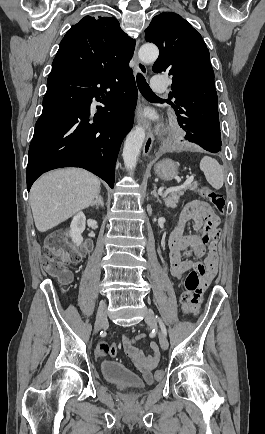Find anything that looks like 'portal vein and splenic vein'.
<instances>
[{"instance_id":"18ae733b","label":"portal vein and splenic vein","mask_w":265,"mask_h":434,"mask_svg":"<svg viewBox=\"0 0 265 434\" xmlns=\"http://www.w3.org/2000/svg\"><path fill=\"white\" fill-rule=\"evenodd\" d=\"M191 182H194V176H190V178H187L186 182H184L182 186H176V188H168L165 194H163L162 198H166L169 192H178V190H181V188H186V186H188V184H191Z\"/></svg>"}]
</instances>
